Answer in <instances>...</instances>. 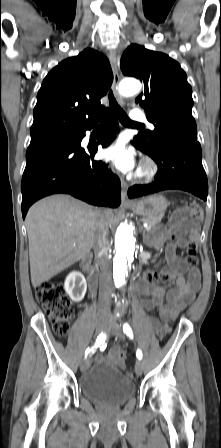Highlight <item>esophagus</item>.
Here are the masks:
<instances>
[{"mask_svg":"<svg viewBox=\"0 0 221 448\" xmlns=\"http://www.w3.org/2000/svg\"><path fill=\"white\" fill-rule=\"evenodd\" d=\"M109 60H110V64L112 67V71H113V76H114V80H113V91L115 93V95L117 96V98L119 99V92H118V84L120 81V76H119V71H118V67H117V58H116V53L115 51H110L109 53ZM127 190H128V184L125 181H122V191H121V196H122V203L123 204H128L131 201L128 199L127 197Z\"/></svg>","mask_w":221,"mask_h":448,"instance_id":"obj_1","label":"esophagus"}]
</instances>
